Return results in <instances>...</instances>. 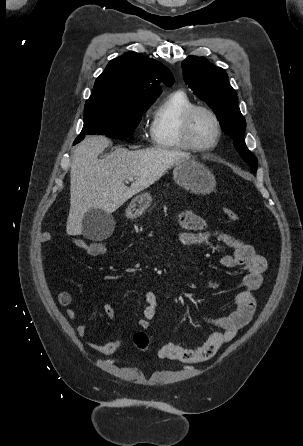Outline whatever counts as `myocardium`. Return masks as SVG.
Returning a JSON list of instances; mask_svg holds the SVG:
<instances>
[{
    "mask_svg": "<svg viewBox=\"0 0 303 446\" xmlns=\"http://www.w3.org/2000/svg\"><path fill=\"white\" fill-rule=\"evenodd\" d=\"M199 111H203V112L207 113L212 118L215 128H216L215 140L209 146H199L193 141V139L191 137V122H192L194 115ZM181 137H182V140L185 143V145L191 150L198 151V152H207V151H211V150L215 149L218 146V144L221 140V137H222V127H221V123L219 121L218 116L212 109H210L207 106L193 105L183 115L182 122H181Z\"/></svg>",
    "mask_w": 303,
    "mask_h": 446,
    "instance_id": "myocardium-1",
    "label": "myocardium"
}]
</instances>
